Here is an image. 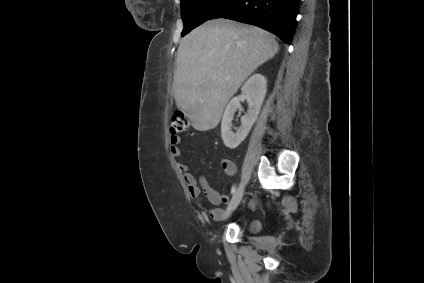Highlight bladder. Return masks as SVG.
Returning <instances> with one entry per match:
<instances>
[{
	"instance_id": "31cf9c89",
	"label": "bladder",
	"mask_w": 424,
	"mask_h": 283,
	"mask_svg": "<svg viewBox=\"0 0 424 283\" xmlns=\"http://www.w3.org/2000/svg\"><path fill=\"white\" fill-rule=\"evenodd\" d=\"M259 228V223L256 220H253L249 223L248 229L251 231H256Z\"/></svg>"
}]
</instances>
